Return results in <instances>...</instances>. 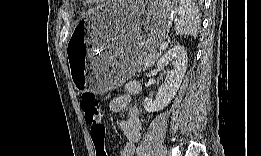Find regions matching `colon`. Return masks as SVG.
<instances>
[{"label": "colon", "instance_id": "colon-1", "mask_svg": "<svg viewBox=\"0 0 261 156\" xmlns=\"http://www.w3.org/2000/svg\"><path fill=\"white\" fill-rule=\"evenodd\" d=\"M86 123L91 126V138L98 155H104L105 127L101 124L102 107L96 96L85 93L80 100Z\"/></svg>", "mask_w": 261, "mask_h": 156}]
</instances>
